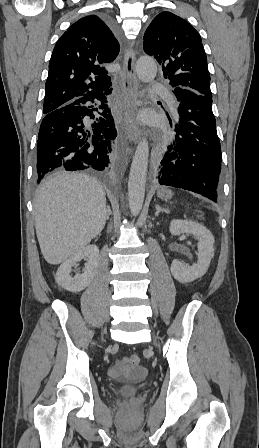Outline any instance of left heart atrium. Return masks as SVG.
<instances>
[{
    "mask_svg": "<svg viewBox=\"0 0 259 448\" xmlns=\"http://www.w3.org/2000/svg\"><path fill=\"white\" fill-rule=\"evenodd\" d=\"M178 154H180V151L176 150L175 152L172 153V157L177 156Z\"/></svg>",
    "mask_w": 259,
    "mask_h": 448,
    "instance_id": "39dd6f15",
    "label": "left heart atrium"
}]
</instances>
